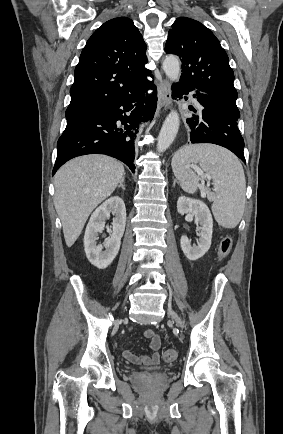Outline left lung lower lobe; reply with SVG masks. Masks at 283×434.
Returning <instances> with one entry per match:
<instances>
[{
	"instance_id": "1",
	"label": "left lung lower lobe",
	"mask_w": 283,
	"mask_h": 434,
	"mask_svg": "<svg viewBox=\"0 0 283 434\" xmlns=\"http://www.w3.org/2000/svg\"><path fill=\"white\" fill-rule=\"evenodd\" d=\"M191 91L196 92L193 97H196L199 103L197 110L189 108L193 113L186 119L191 143H213L223 146L245 162L244 141L237 127L240 117L237 106L202 93L186 83L180 82L172 86L173 97H182Z\"/></svg>"
}]
</instances>
